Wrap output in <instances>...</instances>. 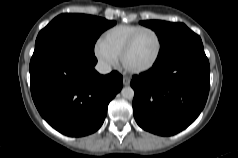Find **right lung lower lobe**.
Returning <instances> with one entry per match:
<instances>
[{
  "mask_svg": "<svg viewBox=\"0 0 238 158\" xmlns=\"http://www.w3.org/2000/svg\"><path fill=\"white\" fill-rule=\"evenodd\" d=\"M97 59L73 44L52 38L35 47L30 87L40 115L57 131L81 137L98 130L109 102L122 89L123 77L100 75Z\"/></svg>",
  "mask_w": 238,
  "mask_h": 158,
  "instance_id": "1",
  "label": "right lung lower lobe"
}]
</instances>
